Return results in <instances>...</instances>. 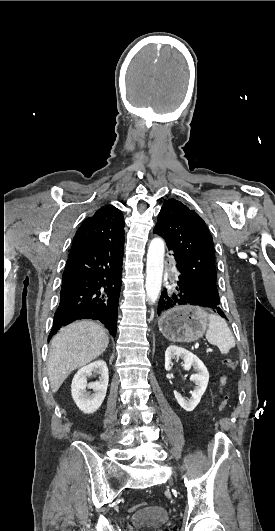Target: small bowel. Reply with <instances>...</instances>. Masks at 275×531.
Masks as SVG:
<instances>
[{
	"instance_id": "small-bowel-1",
	"label": "small bowel",
	"mask_w": 275,
	"mask_h": 531,
	"mask_svg": "<svg viewBox=\"0 0 275 531\" xmlns=\"http://www.w3.org/2000/svg\"><path fill=\"white\" fill-rule=\"evenodd\" d=\"M227 383V378L226 376H221L220 379H219V387L220 389H222Z\"/></svg>"
}]
</instances>
